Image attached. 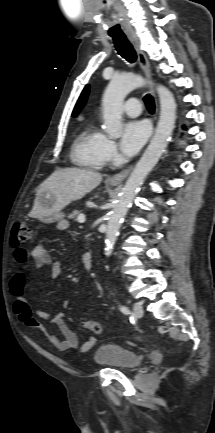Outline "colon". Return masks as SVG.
Instances as JSON below:
<instances>
[{
  "instance_id": "1",
  "label": "colon",
  "mask_w": 215,
  "mask_h": 433,
  "mask_svg": "<svg viewBox=\"0 0 215 433\" xmlns=\"http://www.w3.org/2000/svg\"><path fill=\"white\" fill-rule=\"evenodd\" d=\"M32 238V230L27 223L24 221H15L11 230V244L14 247H18ZM82 326L95 333L100 334L102 332V326L97 321H82Z\"/></svg>"
}]
</instances>
